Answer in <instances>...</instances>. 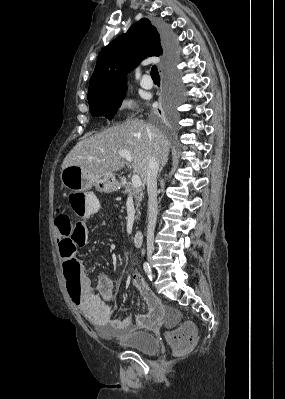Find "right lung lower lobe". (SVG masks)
<instances>
[{
    "instance_id": "1",
    "label": "right lung lower lobe",
    "mask_w": 285,
    "mask_h": 399,
    "mask_svg": "<svg viewBox=\"0 0 285 399\" xmlns=\"http://www.w3.org/2000/svg\"><path fill=\"white\" fill-rule=\"evenodd\" d=\"M159 32H160V35L162 38V44L165 48L166 53L171 55L173 43L171 41V35L169 33V30L166 27H159Z\"/></svg>"
}]
</instances>
